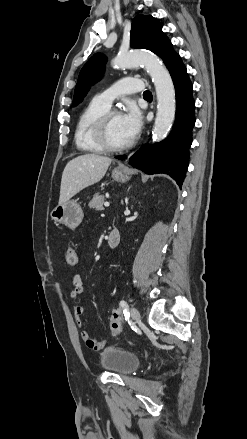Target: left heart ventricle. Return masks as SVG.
Segmentation results:
<instances>
[{
  "label": "left heart ventricle",
  "mask_w": 247,
  "mask_h": 439,
  "mask_svg": "<svg viewBox=\"0 0 247 439\" xmlns=\"http://www.w3.org/2000/svg\"><path fill=\"white\" fill-rule=\"evenodd\" d=\"M109 140L113 145H122L130 141L127 136L119 114H114L109 121Z\"/></svg>",
  "instance_id": "b2bd125f"
}]
</instances>
